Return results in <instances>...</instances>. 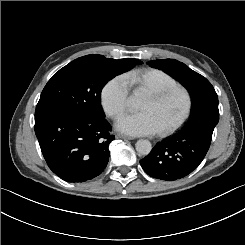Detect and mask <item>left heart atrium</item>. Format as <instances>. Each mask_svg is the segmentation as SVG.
Listing matches in <instances>:
<instances>
[{"label": "left heart atrium", "instance_id": "left-heart-atrium-1", "mask_svg": "<svg viewBox=\"0 0 245 245\" xmlns=\"http://www.w3.org/2000/svg\"><path fill=\"white\" fill-rule=\"evenodd\" d=\"M117 128L134 135L154 134L161 130L155 117L147 111L122 118L117 123Z\"/></svg>", "mask_w": 245, "mask_h": 245}]
</instances>
